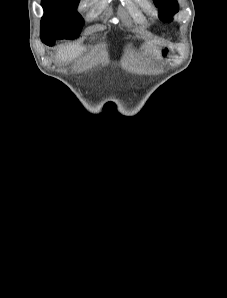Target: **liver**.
<instances>
[{
  "mask_svg": "<svg viewBox=\"0 0 227 298\" xmlns=\"http://www.w3.org/2000/svg\"><path fill=\"white\" fill-rule=\"evenodd\" d=\"M147 44L149 47H152L154 45L159 44V41L153 40V41H149ZM83 51H84V47H82L79 44L63 46L59 48V50L57 51L56 57L59 61L68 63L73 59L77 58L78 56H80Z\"/></svg>",
  "mask_w": 227,
  "mask_h": 298,
  "instance_id": "1",
  "label": "liver"
}]
</instances>
